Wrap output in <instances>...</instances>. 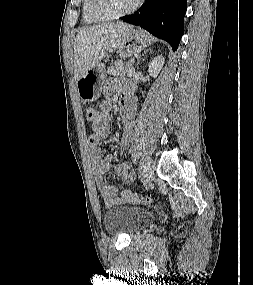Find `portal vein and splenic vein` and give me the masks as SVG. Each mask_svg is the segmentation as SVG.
Returning a JSON list of instances; mask_svg holds the SVG:
<instances>
[{
  "label": "portal vein and splenic vein",
  "mask_w": 253,
  "mask_h": 285,
  "mask_svg": "<svg viewBox=\"0 0 253 285\" xmlns=\"http://www.w3.org/2000/svg\"><path fill=\"white\" fill-rule=\"evenodd\" d=\"M134 72H135V68L132 67V68L128 71L127 76H128V77H131Z\"/></svg>",
  "instance_id": "portal-vein-and-splenic-vein-1"
}]
</instances>
